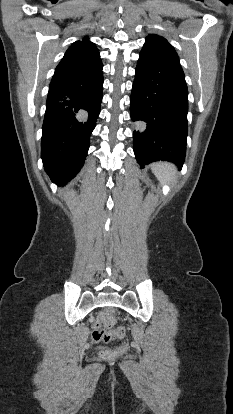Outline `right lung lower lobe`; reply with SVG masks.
Instances as JSON below:
<instances>
[{"mask_svg": "<svg viewBox=\"0 0 233 414\" xmlns=\"http://www.w3.org/2000/svg\"><path fill=\"white\" fill-rule=\"evenodd\" d=\"M102 66L77 75L54 74L46 101L41 157L51 180L63 185L83 166L100 113Z\"/></svg>", "mask_w": 233, "mask_h": 414, "instance_id": "98d812e1", "label": "right lung lower lobe"}]
</instances>
